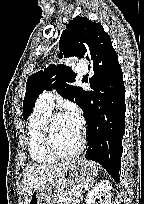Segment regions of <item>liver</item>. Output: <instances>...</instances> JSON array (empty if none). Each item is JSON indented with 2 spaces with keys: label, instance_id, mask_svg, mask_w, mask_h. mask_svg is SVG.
Instances as JSON below:
<instances>
[{
  "label": "liver",
  "instance_id": "obj_1",
  "mask_svg": "<svg viewBox=\"0 0 144 204\" xmlns=\"http://www.w3.org/2000/svg\"><path fill=\"white\" fill-rule=\"evenodd\" d=\"M72 162L55 165H28L23 177L24 204H28L32 193L40 186L55 181L64 168Z\"/></svg>",
  "mask_w": 144,
  "mask_h": 204
}]
</instances>
